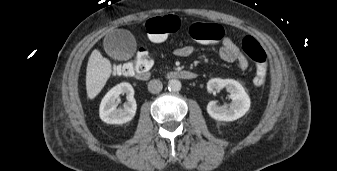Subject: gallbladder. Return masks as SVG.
<instances>
[{"label":"gallbladder","mask_w":337,"mask_h":171,"mask_svg":"<svg viewBox=\"0 0 337 171\" xmlns=\"http://www.w3.org/2000/svg\"><path fill=\"white\" fill-rule=\"evenodd\" d=\"M104 49L114 59L127 60L135 52L136 43L127 30H115L108 34L103 42Z\"/></svg>","instance_id":"1"}]
</instances>
